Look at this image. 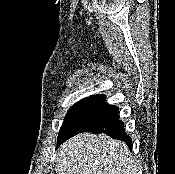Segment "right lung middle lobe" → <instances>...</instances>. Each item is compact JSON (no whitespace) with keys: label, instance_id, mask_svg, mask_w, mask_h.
Wrapping results in <instances>:
<instances>
[{"label":"right lung middle lobe","instance_id":"right-lung-middle-lobe-1","mask_svg":"<svg viewBox=\"0 0 175 174\" xmlns=\"http://www.w3.org/2000/svg\"><path fill=\"white\" fill-rule=\"evenodd\" d=\"M88 97L83 98L82 100H80L79 102H77L76 104H74L67 112L64 122L61 126L60 132H59V136H58V141L64 136L68 126L70 125L71 121L73 120V118L75 117V115L77 114V112L80 110V108L82 107V105L85 103V101L87 100Z\"/></svg>","mask_w":175,"mask_h":174}]
</instances>
